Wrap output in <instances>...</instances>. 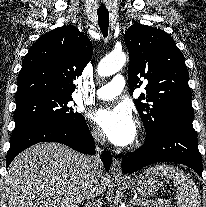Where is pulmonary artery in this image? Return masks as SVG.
<instances>
[{
    "mask_svg": "<svg viewBox=\"0 0 206 207\" xmlns=\"http://www.w3.org/2000/svg\"><path fill=\"white\" fill-rule=\"evenodd\" d=\"M125 87V79L122 75H115L111 82L100 87L96 92L95 95L99 99L107 100L113 99L121 94Z\"/></svg>",
    "mask_w": 206,
    "mask_h": 207,
    "instance_id": "1",
    "label": "pulmonary artery"
}]
</instances>
